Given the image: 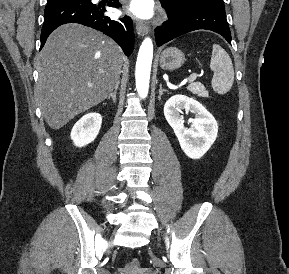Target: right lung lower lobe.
<instances>
[{
    "label": "right lung lower lobe",
    "mask_w": 289,
    "mask_h": 274,
    "mask_svg": "<svg viewBox=\"0 0 289 274\" xmlns=\"http://www.w3.org/2000/svg\"><path fill=\"white\" fill-rule=\"evenodd\" d=\"M110 7H121L118 0H109ZM104 5L94 4L92 0H62L47 3L44 12V23L41 30V48L49 34L58 26L65 23H80L97 29L110 36L129 55L134 47L132 20L124 17L111 20L104 14Z\"/></svg>",
    "instance_id": "obj_1"
}]
</instances>
